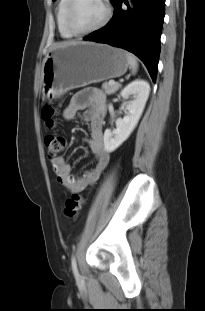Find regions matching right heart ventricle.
I'll use <instances>...</instances> for the list:
<instances>
[{
    "label": "right heart ventricle",
    "instance_id": "obj_1",
    "mask_svg": "<svg viewBox=\"0 0 205 311\" xmlns=\"http://www.w3.org/2000/svg\"><path fill=\"white\" fill-rule=\"evenodd\" d=\"M68 0H60L56 9V23L61 37L70 39L74 35L69 31L66 25L65 14Z\"/></svg>",
    "mask_w": 205,
    "mask_h": 311
}]
</instances>
